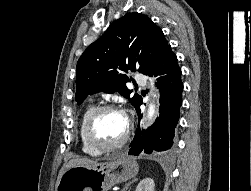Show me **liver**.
Masks as SVG:
<instances>
[{"instance_id":"6515ba94","label":"liver","mask_w":251,"mask_h":191,"mask_svg":"<svg viewBox=\"0 0 251 191\" xmlns=\"http://www.w3.org/2000/svg\"><path fill=\"white\" fill-rule=\"evenodd\" d=\"M98 161H93V159H88V157H77V159H69L68 163H65V165H63V167H61L59 173H58V177H57V181H56V185H55V189L57 191V185L63 175V173H65V171H67V169H69V167H95V165H97Z\"/></svg>"}]
</instances>
